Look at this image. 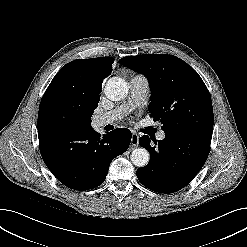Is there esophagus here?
Returning <instances> with one entry per match:
<instances>
[{
    "instance_id": "1",
    "label": "esophagus",
    "mask_w": 247,
    "mask_h": 247,
    "mask_svg": "<svg viewBox=\"0 0 247 247\" xmlns=\"http://www.w3.org/2000/svg\"><path fill=\"white\" fill-rule=\"evenodd\" d=\"M131 148H136L138 147L139 144V136L137 135V133L132 132V137H131Z\"/></svg>"
}]
</instances>
